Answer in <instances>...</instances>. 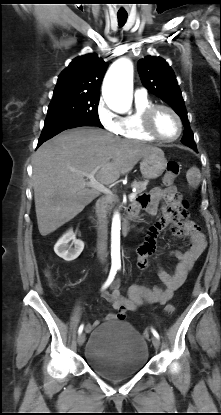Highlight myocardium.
Here are the masks:
<instances>
[{"label":"myocardium","mask_w":221,"mask_h":415,"mask_svg":"<svg viewBox=\"0 0 221 415\" xmlns=\"http://www.w3.org/2000/svg\"><path fill=\"white\" fill-rule=\"evenodd\" d=\"M161 109L169 111L177 120L178 133L176 134V136L172 138L163 137L158 133V131L155 128V116L157 112ZM142 126L144 131L149 136L161 142H174L181 136L183 132V122L180 115L174 108L165 104H152L151 106L147 107L142 114Z\"/></svg>","instance_id":"1"}]
</instances>
